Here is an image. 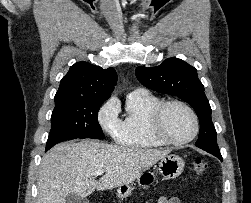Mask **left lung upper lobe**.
<instances>
[{"label":"left lung upper lobe","mask_w":251,"mask_h":203,"mask_svg":"<svg viewBox=\"0 0 251 203\" xmlns=\"http://www.w3.org/2000/svg\"><path fill=\"white\" fill-rule=\"evenodd\" d=\"M136 76L147 88L177 96L189 103L200 122V133L195 145L209 153H220L211 119V107L195 67L181 59L168 58L156 67H137Z\"/></svg>","instance_id":"1"}]
</instances>
